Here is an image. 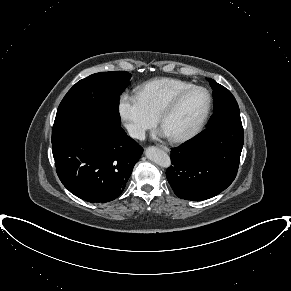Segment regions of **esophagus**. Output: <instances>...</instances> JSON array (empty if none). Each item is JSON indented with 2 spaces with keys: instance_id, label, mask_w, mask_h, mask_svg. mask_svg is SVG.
Listing matches in <instances>:
<instances>
[{
  "instance_id": "1",
  "label": "esophagus",
  "mask_w": 291,
  "mask_h": 291,
  "mask_svg": "<svg viewBox=\"0 0 291 291\" xmlns=\"http://www.w3.org/2000/svg\"><path fill=\"white\" fill-rule=\"evenodd\" d=\"M159 147L164 151H167V152L169 151V148L166 146L160 145Z\"/></svg>"
}]
</instances>
